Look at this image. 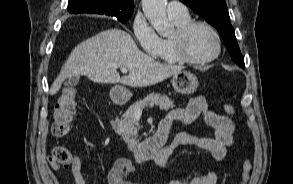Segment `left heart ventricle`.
Instances as JSON below:
<instances>
[{
  "mask_svg": "<svg viewBox=\"0 0 293 184\" xmlns=\"http://www.w3.org/2000/svg\"><path fill=\"white\" fill-rule=\"evenodd\" d=\"M186 51L192 58L203 59L216 51V41L205 27H196L188 36Z\"/></svg>",
  "mask_w": 293,
  "mask_h": 184,
  "instance_id": "obj_1",
  "label": "left heart ventricle"
}]
</instances>
